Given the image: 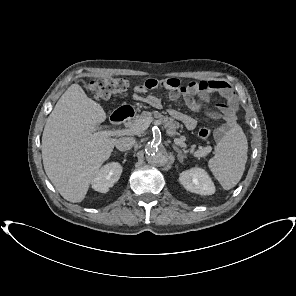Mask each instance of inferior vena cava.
Segmentation results:
<instances>
[{"label":"inferior vena cava","instance_id":"1","mask_svg":"<svg viewBox=\"0 0 296 296\" xmlns=\"http://www.w3.org/2000/svg\"><path fill=\"white\" fill-rule=\"evenodd\" d=\"M135 144V139L132 137H122L119 138L115 146L119 151H127L130 150Z\"/></svg>","mask_w":296,"mask_h":296}]
</instances>
